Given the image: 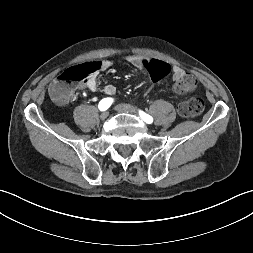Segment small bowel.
<instances>
[{
    "instance_id": "obj_1",
    "label": "small bowel",
    "mask_w": 253,
    "mask_h": 253,
    "mask_svg": "<svg viewBox=\"0 0 253 253\" xmlns=\"http://www.w3.org/2000/svg\"><path fill=\"white\" fill-rule=\"evenodd\" d=\"M126 60L139 70H149L150 63L156 59L148 58L142 55H131L128 56ZM96 63L98 65L97 70L94 74L90 75V77L84 83L78 86L79 89L87 88L91 91H96L98 88L97 72L107 71L112 67L113 64L111 60H102ZM172 74L173 78L177 80L181 75L184 74V70L179 66H174L172 68ZM104 93L108 96H114L116 94V87L112 84H108L104 87Z\"/></svg>"
}]
</instances>
